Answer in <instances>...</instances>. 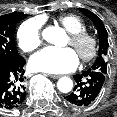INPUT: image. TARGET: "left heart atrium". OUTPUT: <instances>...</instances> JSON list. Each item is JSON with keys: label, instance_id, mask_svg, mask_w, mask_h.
<instances>
[{"label": "left heart atrium", "instance_id": "39dd6f15", "mask_svg": "<svg viewBox=\"0 0 117 117\" xmlns=\"http://www.w3.org/2000/svg\"><path fill=\"white\" fill-rule=\"evenodd\" d=\"M79 59L76 51L70 47H46L34 54L29 61L35 71L57 74L75 69Z\"/></svg>", "mask_w": 117, "mask_h": 117}]
</instances>
